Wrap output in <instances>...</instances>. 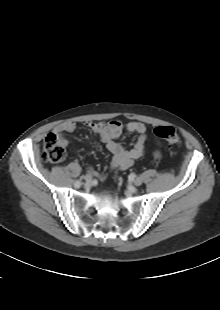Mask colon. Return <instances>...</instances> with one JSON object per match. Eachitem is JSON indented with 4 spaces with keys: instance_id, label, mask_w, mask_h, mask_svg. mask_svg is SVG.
Returning a JSON list of instances; mask_svg holds the SVG:
<instances>
[{
    "instance_id": "obj_1",
    "label": "colon",
    "mask_w": 220,
    "mask_h": 310,
    "mask_svg": "<svg viewBox=\"0 0 220 310\" xmlns=\"http://www.w3.org/2000/svg\"><path fill=\"white\" fill-rule=\"evenodd\" d=\"M154 135L170 144H178L181 141L179 133L171 126H158L154 129ZM44 159L51 163H58L65 159L66 151L61 138L55 133H49L44 140Z\"/></svg>"
}]
</instances>
